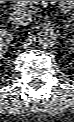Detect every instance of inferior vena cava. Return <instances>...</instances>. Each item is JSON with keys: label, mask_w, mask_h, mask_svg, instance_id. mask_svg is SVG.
<instances>
[{"label": "inferior vena cava", "mask_w": 74, "mask_h": 122, "mask_svg": "<svg viewBox=\"0 0 74 122\" xmlns=\"http://www.w3.org/2000/svg\"><path fill=\"white\" fill-rule=\"evenodd\" d=\"M12 24L14 25H28L32 22V16L26 11L20 9L11 14L10 18Z\"/></svg>", "instance_id": "1"}]
</instances>
